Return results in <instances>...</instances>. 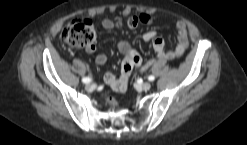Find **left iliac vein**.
I'll return each mask as SVG.
<instances>
[{"instance_id": "obj_1", "label": "left iliac vein", "mask_w": 247, "mask_h": 145, "mask_svg": "<svg viewBox=\"0 0 247 145\" xmlns=\"http://www.w3.org/2000/svg\"><path fill=\"white\" fill-rule=\"evenodd\" d=\"M138 88L140 90L148 91L151 88V83L150 82H145V83L139 84Z\"/></svg>"}]
</instances>
